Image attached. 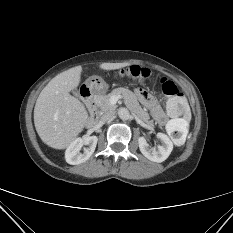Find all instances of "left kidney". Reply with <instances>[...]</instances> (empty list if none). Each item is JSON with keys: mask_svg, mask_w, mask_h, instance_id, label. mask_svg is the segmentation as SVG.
<instances>
[{"mask_svg": "<svg viewBox=\"0 0 233 233\" xmlns=\"http://www.w3.org/2000/svg\"><path fill=\"white\" fill-rule=\"evenodd\" d=\"M157 138L161 141V145L156 148H149V144L147 143L144 137H139L138 144L141 153L149 160L153 162H163L165 161L170 153L173 150V143L170 138L163 133H157Z\"/></svg>", "mask_w": 233, "mask_h": 233, "instance_id": "1", "label": "left kidney"}]
</instances>
